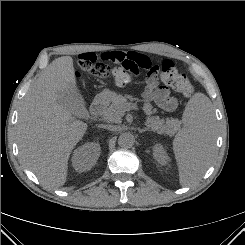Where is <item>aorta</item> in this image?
Wrapping results in <instances>:
<instances>
[{"instance_id": "aorta-1", "label": "aorta", "mask_w": 245, "mask_h": 245, "mask_svg": "<svg viewBox=\"0 0 245 245\" xmlns=\"http://www.w3.org/2000/svg\"><path fill=\"white\" fill-rule=\"evenodd\" d=\"M135 143V137L131 133H122L118 138V144L120 147L129 148L132 147Z\"/></svg>"}]
</instances>
